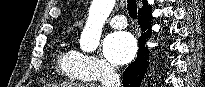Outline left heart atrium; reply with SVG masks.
Returning a JSON list of instances; mask_svg holds the SVG:
<instances>
[{
  "label": "left heart atrium",
  "mask_w": 205,
  "mask_h": 87,
  "mask_svg": "<svg viewBox=\"0 0 205 87\" xmlns=\"http://www.w3.org/2000/svg\"><path fill=\"white\" fill-rule=\"evenodd\" d=\"M136 41L128 32H115L108 35L103 43V53L113 64L124 65L136 55Z\"/></svg>",
  "instance_id": "obj_1"
}]
</instances>
